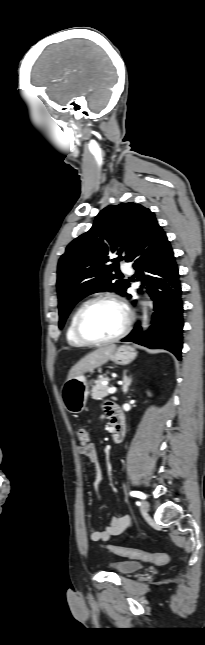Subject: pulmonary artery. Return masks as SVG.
I'll return each mask as SVG.
<instances>
[{"instance_id": "1", "label": "pulmonary artery", "mask_w": 205, "mask_h": 645, "mask_svg": "<svg viewBox=\"0 0 205 645\" xmlns=\"http://www.w3.org/2000/svg\"><path fill=\"white\" fill-rule=\"evenodd\" d=\"M121 270L123 272H125V273H128V274H130L132 272L131 266L129 264H127V263H123L121 265Z\"/></svg>"}]
</instances>
